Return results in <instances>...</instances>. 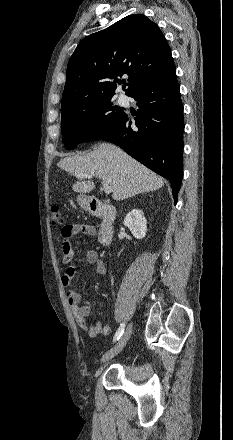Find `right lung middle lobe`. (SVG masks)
<instances>
[{
  "label": "right lung middle lobe",
  "instance_id": "dd1d6c3e",
  "mask_svg": "<svg viewBox=\"0 0 233 440\" xmlns=\"http://www.w3.org/2000/svg\"><path fill=\"white\" fill-rule=\"evenodd\" d=\"M125 113L112 97L78 102L61 109L62 141L66 149L78 143L100 140L116 127Z\"/></svg>",
  "mask_w": 233,
  "mask_h": 440
}]
</instances>
